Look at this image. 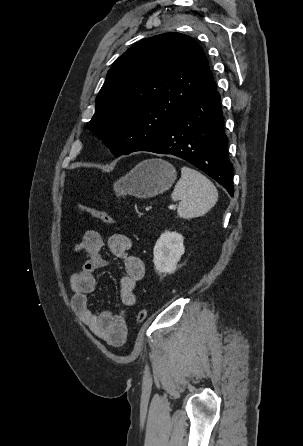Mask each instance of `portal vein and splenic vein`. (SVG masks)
<instances>
[{
	"instance_id": "portal-vein-and-splenic-vein-1",
	"label": "portal vein and splenic vein",
	"mask_w": 303,
	"mask_h": 446,
	"mask_svg": "<svg viewBox=\"0 0 303 446\" xmlns=\"http://www.w3.org/2000/svg\"><path fill=\"white\" fill-rule=\"evenodd\" d=\"M168 208H169L170 210H173V209L176 208V206H175V205H170V206H168Z\"/></svg>"
}]
</instances>
